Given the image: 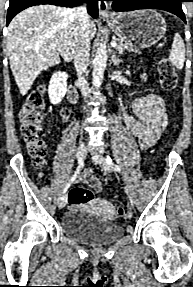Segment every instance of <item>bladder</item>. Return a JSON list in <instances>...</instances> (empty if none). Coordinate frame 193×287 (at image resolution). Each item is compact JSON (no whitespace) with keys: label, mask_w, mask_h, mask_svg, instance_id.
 Listing matches in <instances>:
<instances>
[{"label":"bladder","mask_w":193,"mask_h":287,"mask_svg":"<svg viewBox=\"0 0 193 287\" xmlns=\"http://www.w3.org/2000/svg\"><path fill=\"white\" fill-rule=\"evenodd\" d=\"M61 231L90 246L107 245L123 235L122 226L116 222L103 217H93L92 212L77 209L69 210L63 215Z\"/></svg>","instance_id":"obj_1"}]
</instances>
